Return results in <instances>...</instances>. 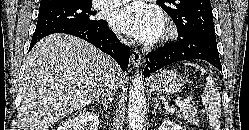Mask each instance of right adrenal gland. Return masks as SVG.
<instances>
[{
    "instance_id": "2a0ac1e0",
    "label": "right adrenal gland",
    "mask_w": 249,
    "mask_h": 130,
    "mask_svg": "<svg viewBox=\"0 0 249 130\" xmlns=\"http://www.w3.org/2000/svg\"><path fill=\"white\" fill-rule=\"evenodd\" d=\"M111 98H102L101 100H96V103L102 104L104 110L106 111L108 109V104L111 103Z\"/></svg>"
}]
</instances>
